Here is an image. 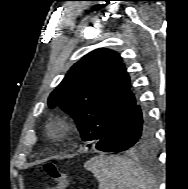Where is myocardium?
<instances>
[{
  "label": "myocardium",
  "mask_w": 188,
  "mask_h": 189,
  "mask_svg": "<svg viewBox=\"0 0 188 189\" xmlns=\"http://www.w3.org/2000/svg\"><path fill=\"white\" fill-rule=\"evenodd\" d=\"M68 123L65 118L56 116L49 120L45 125V131L48 134L63 131L67 128Z\"/></svg>",
  "instance_id": "myocardium-1"
}]
</instances>
